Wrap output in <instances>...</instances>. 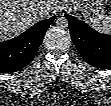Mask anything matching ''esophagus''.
<instances>
[{"label": "esophagus", "mask_w": 111, "mask_h": 106, "mask_svg": "<svg viewBox=\"0 0 111 106\" xmlns=\"http://www.w3.org/2000/svg\"><path fill=\"white\" fill-rule=\"evenodd\" d=\"M59 9L61 12H63V11H67L68 7L63 5V6H60Z\"/></svg>", "instance_id": "34e87169"}]
</instances>
